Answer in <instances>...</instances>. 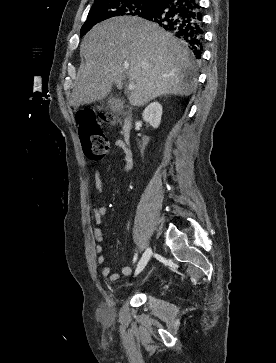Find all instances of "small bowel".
<instances>
[{
  "mask_svg": "<svg viewBox=\"0 0 276 363\" xmlns=\"http://www.w3.org/2000/svg\"><path fill=\"white\" fill-rule=\"evenodd\" d=\"M116 146L118 148H124V143L121 140H117L115 142ZM132 167V155L131 153L127 152L125 154L124 158V168L126 170L131 169ZM94 183L95 188L98 193L102 192L103 184L101 175L98 171L94 172ZM108 208L106 206H99L95 207L92 210V217L96 222V227L93 230L95 241L97 242V245L95 247V253L97 255V263L100 266V273L102 277L107 278L111 282H117L120 279V276H131L133 273V269L131 266H122L120 268V273H111L110 267L108 266L106 262V257L104 255V247L102 245V242L104 240L103 232H102V220L103 217L107 214Z\"/></svg>",
  "mask_w": 276,
  "mask_h": 363,
  "instance_id": "obj_1",
  "label": "small bowel"
}]
</instances>
